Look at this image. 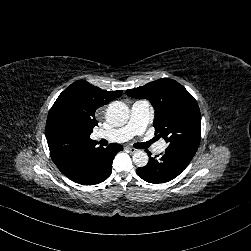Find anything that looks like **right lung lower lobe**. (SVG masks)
Segmentation results:
<instances>
[{
    "mask_svg": "<svg viewBox=\"0 0 251 251\" xmlns=\"http://www.w3.org/2000/svg\"><path fill=\"white\" fill-rule=\"evenodd\" d=\"M122 150V145L115 143L99 147L59 170L76 183L95 185L110 176L114 156Z\"/></svg>",
    "mask_w": 251,
    "mask_h": 251,
    "instance_id": "obj_1",
    "label": "right lung lower lobe"
}]
</instances>
